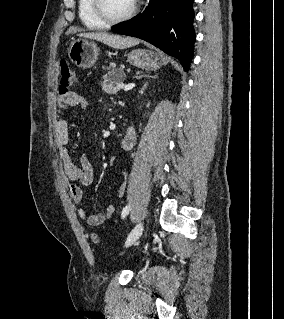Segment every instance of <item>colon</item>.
<instances>
[{"label": "colon", "mask_w": 284, "mask_h": 319, "mask_svg": "<svg viewBox=\"0 0 284 319\" xmlns=\"http://www.w3.org/2000/svg\"><path fill=\"white\" fill-rule=\"evenodd\" d=\"M76 82V73L69 67V65L65 61H62L60 63L59 94H67L70 91L71 87L76 84ZM91 240L95 244L101 243L99 236L95 233L91 234Z\"/></svg>", "instance_id": "1"}]
</instances>
